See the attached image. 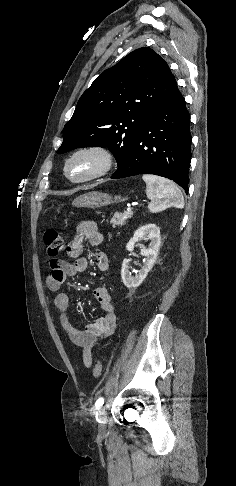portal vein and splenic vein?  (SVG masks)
<instances>
[{"label": "portal vein and splenic vein", "instance_id": "1", "mask_svg": "<svg viewBox=\"0 0 236 486\" xmlns=\"http://www.w3.org/2000/svg\"><path fill=\"white\" fill-rule=\"evenodd\" d=\"M132 208L131 207H127V212H131Z\"/></svg>", "mask_w": 236, "mask_h": 486}]
</instances>
